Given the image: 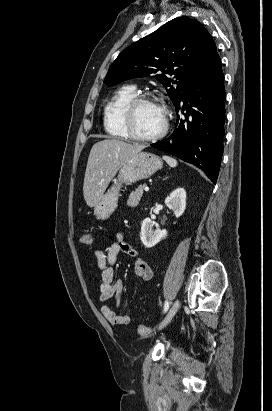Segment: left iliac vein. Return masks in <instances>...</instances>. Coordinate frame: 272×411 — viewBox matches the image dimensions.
<instances>
[{"mask_svg": "<svg viewBox=\"0 0 272 411\" xmlns=\"http://www.w3.org/2000/svg\"><path fill=\"white\" fill-rule=\"evenodd\" d=\"M180 305V301L177 299L175 300V302L173 303V305L171 306L170 310L168 311L166 317L164 318V320L159 324L158 329L161 330L163 329L174 317V315L176 314L178 308Z\"/></svg>", "mask_w": 272, "mask_h": 411, "instance_id": "left-iliac-vein-1", "label": "left iliac vein"}]
</instances>
